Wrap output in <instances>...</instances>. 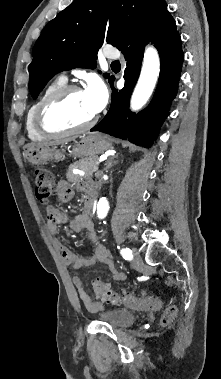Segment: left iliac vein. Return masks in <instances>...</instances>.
<instances>
[{
    "label": "left iliac vein",
    "mask_w": 221,
    "mask_h": 379,
    "mask_svg": "<svg viewBox=\"0 0 221 379\" xmlns=\"http://www.w3.org/2000/svg\"><path fill=\"white\" fill-rule=\"evenodd\" d=\"M132 252H133L134 258L131 262V265L136 269H141L143 267V261L140 257L138 250L136 248H132Z\"/></svg>",
    "instance_id": "obj_1"
}]
</instances>
